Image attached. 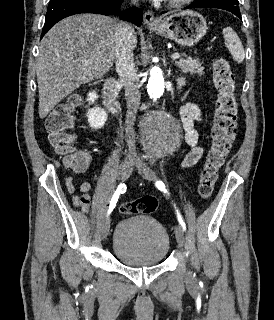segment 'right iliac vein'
Segmentation results:
<instances>
[{"instance_id":"1","label":"right iliac vein","mask_w":274,"mask_h":320,"mask_svg":"<svg viewBox=\"0 0 274 320\" xmlns=\"http://www.w3.org/2000/svg\"><path fill=\"white\" fill-rule=\"evenodd\" d=\"M133 164H134V161L132 159H127L120 165L119 174L123 180L129 177ZM109 230H110V218L107 217L104 220L101 228V236L103 239H106V237L108 236Z\"/></svg>"}]
</instances>
